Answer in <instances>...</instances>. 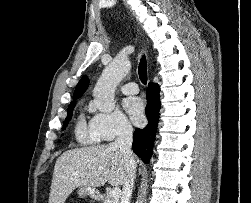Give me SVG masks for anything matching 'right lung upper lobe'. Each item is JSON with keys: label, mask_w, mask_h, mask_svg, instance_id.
<instances>
[{"label": "right lung upper lobe", "mask_w": 251, "mask_h": 203, "mask_svg": "<svg viewBox=\"0 0 251 203\" xmlns=\"http://www.w3.org/2000/svg\"><path fill=\"white\" fill-rule=\"evenodd\" d=\"M88 85H89L88 77L83 76L76 86V89H75L74 95H73V101L71 103L76 102V99H78L79 97H81L83 95L85 90L88 88Z\"/></svg>", "instance_id": "obj_1"}]
</instances>
